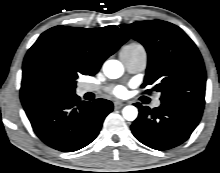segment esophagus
<instances>
[{"instance_id":"1","label":"esophagus","mask_w":220,"mask_h":173,"mask_svg":"<svg viewBox=\"0 0 220 173\" xmlns=\"http://www.w3.org/2000/svg\"><path fill=\"white\" fill-rule=\"evenodd\" d=\"M123 106H124V103L122 101L117 100L114 102L115 109H120Z\"/></svg>"}]
</instances>
